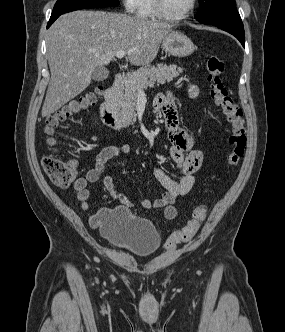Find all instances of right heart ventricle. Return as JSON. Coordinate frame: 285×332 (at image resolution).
<instances>
[{
  "label": "right heart ventricle",
  "instance_id": "obj_1",
  "mask_svg": "<svg viewBox=\"0 0 285 332\" xmlns=\"http://www.w3.org/2000/svg\"><path fill=\"white\" fill-rule=\"evenodd\" d=\"M135 14L139 19L154 20L159 18L154 10L153 0H138Z\"/></svg>",
  "mask_w": 285,
  "mask_h": 332
}]
</instances>
